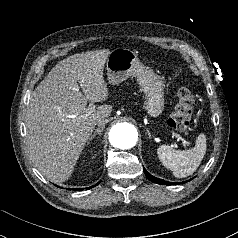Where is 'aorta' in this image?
<instances>
[{
  "instance_id": "aorta-1",
  "label": "aorta",
  "mask_w": 238,
  "mask_h": 238,
  "mask_svg": "<svg viewBox=\"0 0 238 238\" xmlns=\"http://www.w3.org/2000/svg\"><path fill=\"white\" fill-rule=\"evenodd\" d=\"M137 140L138 132L129 123H117L109 133V141L115 148L130 149L135 146Z\"/></svg>"
}]
</instances>
